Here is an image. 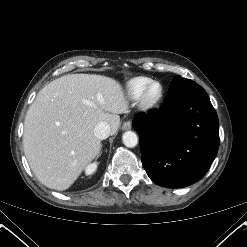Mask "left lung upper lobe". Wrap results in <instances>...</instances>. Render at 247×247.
<instances>
[{
  "label": "left lung upper lobe",
  "instance_id": "left-lung-upper-lobe-1",
  "mask_svg": "<svg viewBox=\"0 0 247 247\" xmlns=\"http://www.w3.org/2000/svg\"><path fill=\"white\" fill-rule=\"evenodd\" d=\"M192 82H194V81L186 79V78H182L181 76H176L173 79V84H189V83H192Z\"/></svg>",
  "mask_w": 247,
  "mask_h": 247
}]
</instances>
